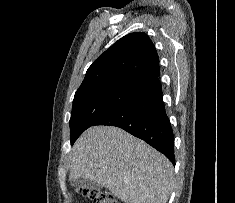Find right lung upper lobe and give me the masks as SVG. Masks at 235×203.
<instances>
[{"mask_svg":"<svg viewBox=\"0 0 235 203\" xmlns=\"http://www.w3.org/2000/svg\"><path fill=\"white\" fill-rule=\"evenodd\" d=\"M159 74V58L152 41L142 32L131 33L95 60L79 89L113 81L150 87L159 82Z\"/></svg>","mask_w":235,"mask_h":203,"instance_id":"right-lung-upper-lobe-1","label":"right lung upper lobe"}]
</instances>
